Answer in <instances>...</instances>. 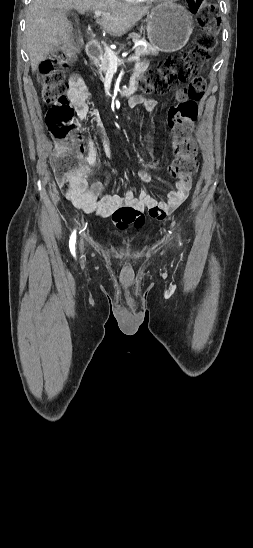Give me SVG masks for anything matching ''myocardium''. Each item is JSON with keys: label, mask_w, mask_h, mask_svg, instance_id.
Masks as SVG:
<instances>
[{"label": "myocardium", "mask_w": 253, "mask_h": 548, "mask_svg": "<svg viewBox=\"0 0 253 548\" xmlns=\"http://www.w3.org/2000/svg\"><path fill=\"white\" fill-rule=\"evenodd\" d=\"M149 1L162 2V1H169V0H149Z\"/></svg>", "instance_id": "myocardium-1"}]
</instances>
